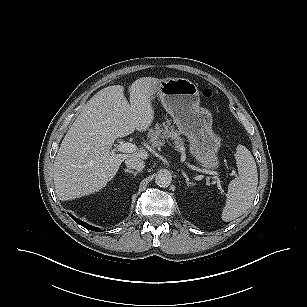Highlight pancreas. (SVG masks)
I'll return each mask as SVG.
<instances>
[{
  "mask_svg": "<svg viewBox=\"0 0 307 307\" xmlns=\"http://www.w3.org/2000/svg\"><path fill=\"white\" fill-rule=\"evenodd\" d=\"M180 133L175 130L170 123L164 124L163 127L159 124L155 125V128L150 129L148 133L149 143L153 148L163 145L166 139H171L178 151L185 155V144L183 139L179 136Z\"/></svg>",
  "mask_w": 307,
  "mask_h": 307,
  "instance_id": "1",
  "label": "pancreas"
}]
</instances>
